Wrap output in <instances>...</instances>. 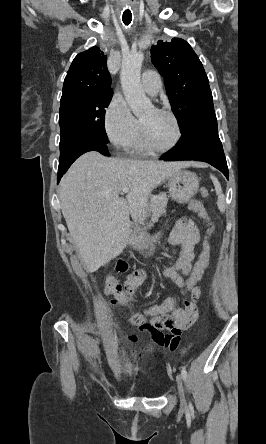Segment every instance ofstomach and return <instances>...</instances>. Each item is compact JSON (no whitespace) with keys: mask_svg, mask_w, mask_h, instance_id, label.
I'll return each instance as SVG.
<instances>
[{"mask_svg":"<svg viewBox=\"0 0 266 444\" xmlns=\"http://www.w3.org/2000/svg\"><path fill=\"white\" fill-rule=\"evenodd\" d=\"M168 185L170 196L178 203H186L196 194L199 179L196 174L181 169L168 177ZM146 242L149 244L150 241Z\"/></svg>","mask_w":266,"mask_h":444,"instance_id":"stomach-1","label":"stomach"}]
</instances>
